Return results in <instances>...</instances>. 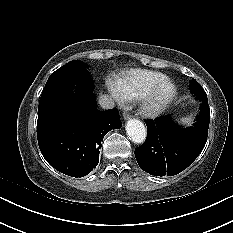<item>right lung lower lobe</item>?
I'll return each instance as SVG.
<instances>
[{"label":"right lung lower lobe","mask_w":233,"mask_h":233,"mask_svg":"<svg viewBox=\"0 0 233 233\" xmlns=\"http://www.w3.org/2000/svg\"><path fill=\"white\" fill-rule=\"evenodd\" d=\"M67 110L38 118L37 138L46 161L59 172L83 177L99 162L105 134L122 126L117 109L97 110L93 89L76 92Z\"/></svg>","instance_id":"98d812e1"}]
</instances>
